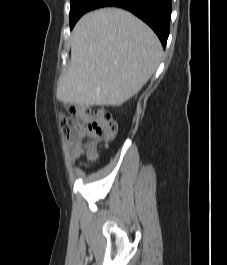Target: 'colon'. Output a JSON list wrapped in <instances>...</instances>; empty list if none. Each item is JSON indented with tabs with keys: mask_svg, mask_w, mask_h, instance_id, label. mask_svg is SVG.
Instances as JSON below:
<instances>
[{
	"mask_svg": "<svg viewBox=\"0 0 227 265\" xmlns=\"http://www.w3.org/2000/svg\"><path fill=\"white\" fill-rule=\"evenodd\" d=\"M69 113L75 122L64 119L61 127L68 136L72 131H80L79 144L83 148L95 149L98 143L109 142L116 135L117 125L110 113L103 108L77 105L70 107Z\"/></svg>",
	"mask_w": 227,
	"mask_h": 265,
	"instance_id": "1",
	"label": "colon"
}]
</instances>
